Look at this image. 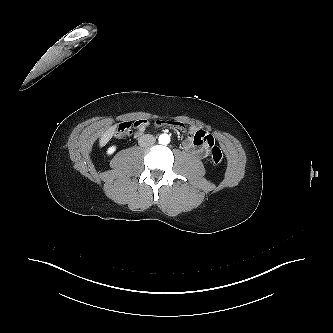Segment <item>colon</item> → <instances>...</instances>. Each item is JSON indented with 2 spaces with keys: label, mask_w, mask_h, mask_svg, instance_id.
I'll return each mask as SVG.
<instances>
[{
  "label": "colon",
  "mask_w": 333,
  "mask_h": 333,
  "mask_svg": "<svg viewBox=\"0 0 333 333\" xmlns=\"http://www.w3.org/2000/svg\"><path fill=\"white\" fill-rule=\"evenodd\" d=\"M135 127V122H122L119 124L116 130V137L124 138L128 137L132 133V128ZM211 161L214 164H220L223 160V153L222 150L215 144L211 146Z\"/></svg>",
  "instance_id": "colon-1"
}]
</instances>
